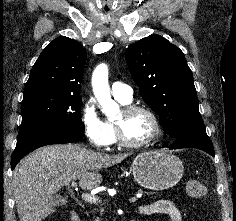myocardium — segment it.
Listing matches in <instances>:
<instances>
[{
	"instance_id": "f54148a6",
	"label": "myocardium",
	"mask_w": 236,
	"mask_h": 221,
	"mask_svg": "<svg viewBox=\"0 0 236 221\" xmlns=\"http://www.w3.org/2000/svg\"><path fill=\"white\" fill-rule=\"evenodd\" d=\"M136 112L146 113L152 119L154 124L153 134L147 140L142 142L129 141L124 135L123 118L128 117ZM121 114L122 119H117L114 121L116 138L121 146L126 148L139 149L151 145L160 137L162 132L161 122L158 115L150 107L145 105H126L122 108Z\"/></svg>"
}]
</instances>
